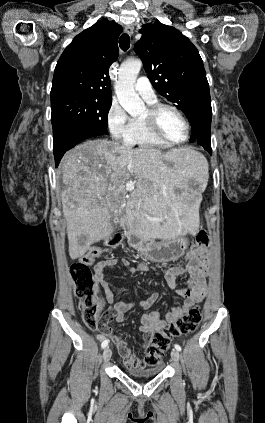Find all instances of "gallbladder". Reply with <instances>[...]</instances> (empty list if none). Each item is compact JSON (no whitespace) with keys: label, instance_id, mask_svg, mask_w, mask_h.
Listing matches in <instances>:
<instances>
[{"label":"gallbladder","instance_id":"bac80fb5","mask_svg":"<svg viewBox=\"0 0 265 423\" xmlns=\"http://www.w3.org/2000/svg\"><path fill=\"white\" fill-rule=\"evenodd\" d=\"M113 224H114V226H117V224H118L117 218H113ZM78 240L81 242L82 237H79Z\"/></svg>","mask_w":265,"mask_h":423}]
</instances>
